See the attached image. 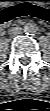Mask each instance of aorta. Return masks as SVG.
I'll return each mask as SVG.
<instances>
[{"label":"aorta","mask_w":50,"mask_h":111,"mask_svg":"<svg viewBox=\"0 0 50 111\" xmlns=\"http://www.w3.org/2000/svg\"><path fill=\"white\" fill-rule=\"evenodd\" d=\"M23 31L26 34H35L38 31V26L35 23H27L25 24Z\"/></svg>","instance_id":"obj_1"}]
</instances>
